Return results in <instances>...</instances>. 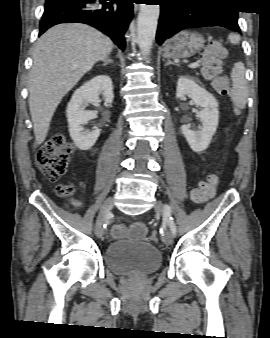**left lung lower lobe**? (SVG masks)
<instances>
[{
  "label": "left lung lower lobe",
  "instance_id": "0a47b994",
  "mask_svg": "<svg viewBox=\"0 0 270 338\" xmlns=\"http://www.w3.org/2000/svg\"><path fill=\"white\" fill-rule=\"evenodd\" d=\"M161 13L156 40L162 44L191 27L221 26L240 33L238 11L224 8V0H160Z\"/></svg>",
  "mask_w": 270,
  "mask_h": 338
}]
</instances>
